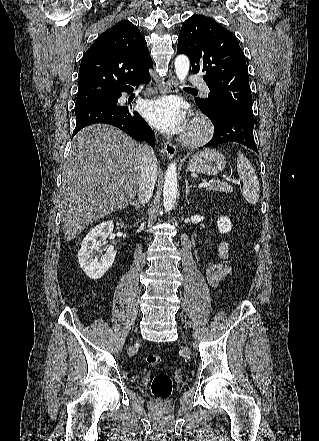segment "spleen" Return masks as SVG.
I'll return each mask as SVG.
<instances>
[{
    "mask_svg": "<svg viewBox=\"0 0 319 441\" xmlns=\"http://www.w3.org/2000/svg\"><path fill=\"white\" fill-rule=\"evenodd\" d=\"M237 172L244 186L242 194L250 204H256L259 199V180L249 159L241 152H237Z\"/></svg>",
    "mask_w": 319,
    "mask_h": 441,
    "instance_id": "obj_1",
    "label": "spleen"
}]
</instances>
